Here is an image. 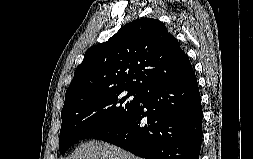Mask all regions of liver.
<instances>
[{"mask_svg":"<svg viewBox=\"0 0 253 159\" xmlns=\"http://www.w3.org/2000/svg\"><path fill=\"white\" fill-rule=\"evenodd\" d=\"M66 159H141L115 145L91 140L81 144Z\"/></svg>","mask_w":253,"mask_h":159,"instance_id":"liver-1","label":"liver"}]
</instances>
